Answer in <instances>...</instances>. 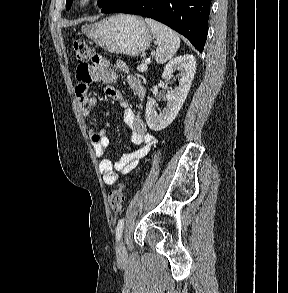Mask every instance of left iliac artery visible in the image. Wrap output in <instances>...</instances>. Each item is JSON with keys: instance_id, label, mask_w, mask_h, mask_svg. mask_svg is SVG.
<instances>
[{"instance_id": "1", "label": "left iliac artery", "mask_w": 288, "mask_h": 293, "mask_svg": "<svg viewBox=\"0 0 288 293\" xmlns=\"http://www.w3.org/2000/svg\"><path fill=\"white\" fill-rule=\"evenodd\" d=\"M123 227H124V218L120 219L118 221V225L116 228V238L117 240H120L122 232H123Z\"/></svg>"}]
</instances>
